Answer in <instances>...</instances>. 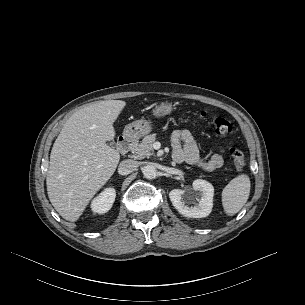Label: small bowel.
<instances>
[{
    "label": "small bowel",
    "mask_w": 305,
    "mask_h": 305,
    "mask_svg": "<svg viewBox=\"0 0 305 305\" xmlns=\"http://www.w3.org/2000/svg\"><path fill=\"white\" fill-rule=\"evenodd\" d=\"M172 157L178 162H187L196 165L206 171H213L223 165V153L219 152L214 154L210 159H203L197 147V144L187 130H177L172 134Z\"/></svg>",
    "instance_id": "c3829d8e"
}]
</instances>
